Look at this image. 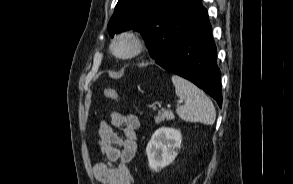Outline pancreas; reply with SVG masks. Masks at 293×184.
<instances>
[{
    "instance_id": "cf45deb5",
    "label": "pancreas",
    "mask_w": 293,
    "mask_h": 184,
    "mask_svg": "<svg viewBox=\"0 0 293 184\" xmlns=\"http://www.w3.org/2000/svg\"><path fill=\"white\" fill-rule=\"evenodd\" d=\"M174 119V114L170 110H162L158 112V115L154 117L155 123L160 124L164 120Z\"/></svg>"
}]
</instances>
